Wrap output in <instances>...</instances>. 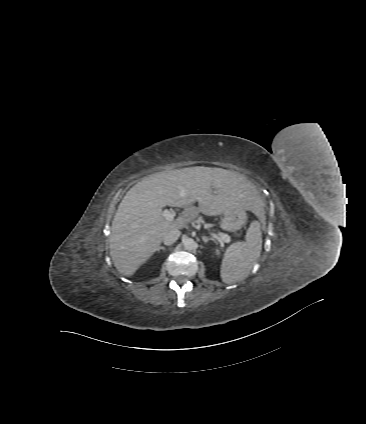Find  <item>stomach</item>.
I'll return each mask as SVG.
<instances>
[{
	"label": "stomach",
	"instance_id": "1",
	"mask_svg": "<svg viewBox=\"0 0 366 424\" xmlns=\"http://www.w3.org/2000/svg\"><path fill=\"white\" fill-rule=\"evenodd\" d=\"M245 221L246 213L244 209L232 210L224 214L220 226L224 231L235 232L242 227Z\"/></svg>",
	"mask_w": 366,
	"mask_h": 424
}]
</instances>
